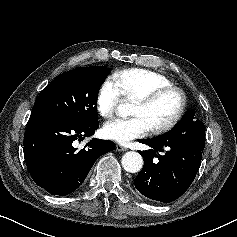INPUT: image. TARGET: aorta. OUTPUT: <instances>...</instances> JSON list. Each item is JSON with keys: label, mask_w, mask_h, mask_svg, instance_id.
I'll list each match as a JSON object with an SVG mask.
<instances>
[{"label": "aorta", "mask_w": 237, "mask_h": 237, "mask_svg": "<svg viewBox=\"0 0 237 237\" xmlns=\"http://www.w3.org/2000/svg\"><path fill=\"white\" fill-rule=\"evenodd\" d=\"M118 112L121 116H126L130 113L129 104H121L118 106ZM123 168L130 173H136L143 167V158L138 152L129 151L122 156L121 160Z\"/></svg>", "instance_id": "1"}]
</instances>
